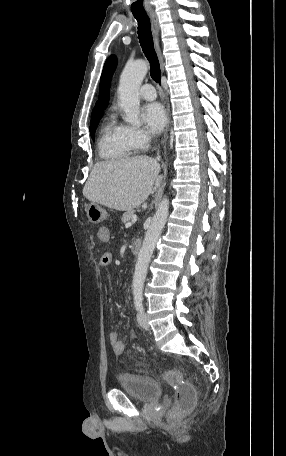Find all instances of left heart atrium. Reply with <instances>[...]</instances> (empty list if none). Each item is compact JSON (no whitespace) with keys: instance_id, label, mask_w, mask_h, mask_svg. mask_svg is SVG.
<instances>
[{"instance_id":"1","label":"left heart atrium","mask_w":286,"mask_h":456,"mask_svg":"<svg viewBox=\"0 0 286 456\" xmlns=\"http://www.w3.org/2000/svg\"><path fill=\"white\" fill-rule=\"evenodd\" d=\"M142 117L147 128L153 132H160L166 123V114L158 103H150L143 107Z\"/></svg>"}]
</instances>
